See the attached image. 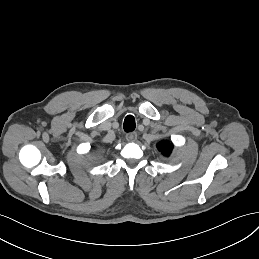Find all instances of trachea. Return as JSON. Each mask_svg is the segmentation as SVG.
Masks as SVG:
<instances>
[{"label":"trachea","instance_id":"3493384b","mask_svg":"<svg viewBox=\"0 0 259 259\" xmlns=\"http://www.w3.org/2000/svg\"><path fill=\"white\" fill-rule=\"evenodd\" d=\"M135 130V119L133 116L128 115L124 120V131L131 132Z\"/></svg>","mask_w":259,"mask_h":259}]
</instances>
